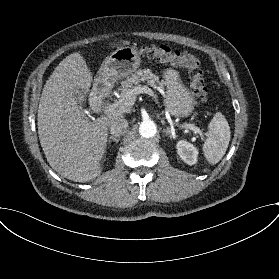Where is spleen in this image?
I'll use <instances>...</instances> for the list:
<instances>
[{"instance_id":"3e777b00","label":"spleen","mask_w":279,"mask_h":279,"mask_svg":"<svg viewBox=\"0 0 279 279\" xmlns=\"http://www.w3.org/2000/svg\"><path fill=\"white\" fill-rule=\"evenodd\" d=\"M230 138V126L222 113L217 112L208 125V135L203 145L204 156L210 164H216L223 158Z\"/></svg>"}]
</instances>
